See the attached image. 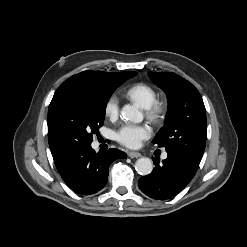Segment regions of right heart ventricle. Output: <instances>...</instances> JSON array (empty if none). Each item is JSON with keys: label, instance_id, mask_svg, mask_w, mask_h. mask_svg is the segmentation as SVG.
Here are the masks:
<instances>
[{"label": "right heart ventricle", "instance_id": "right-heart-ventricle-1", "mask_svg": "<svg viewBox=\"0 0 247 247\" xmlns=\"http://www.w3.org/2000/svg\"><path fill=\"white\" fill-rule=\"evenodd\" d=\"M127 98L142 108L149 107L157 98L156 90L149 84L138 82L131 85L125 92Z\"/></svg>", "mask_w": 247, "mask_h": 247}]
</instances>
